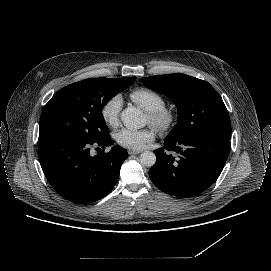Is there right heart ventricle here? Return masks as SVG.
Returning <instances> with one entry per match:
<instances>
[{
  "label": "right heart ventricle",
  "instance_id": "right-heart-ventricle-1",
  "mask_svg": "<svg viewBox=\"0 0 271 271\" xmlns=\"http://www.w3.org/2000/svg\"><path fill=\"white\" fill-rule=\"evenodd\" d=\"M129 97L148 112L165 105L164 97L157 91L147 87H139L132 90L129 93Z\"/></svg>",
  "mask_w": 271,
  "mask_h": 271
}]
</instances>
